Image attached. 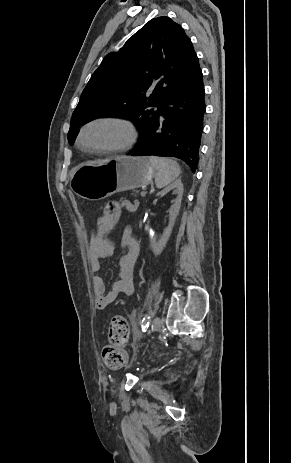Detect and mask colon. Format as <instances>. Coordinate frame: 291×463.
Segmentation results:
<instances>
[{
    "label": "colon",
    "mask_w": 291,
    "mask_h": 463,
    "mask_svg": "<svg viewBox=\"0 0 291 463\" xmlns=\"http://www.w3.org/2000/svg\"><path fill=\"white\" fill-rule=\"evenodd\" d=\"M118 211L117 204L109 203L98 213L99 233L114 230V218L117 216ZM109 337L110 342L105 344L102 349V359L106 367L118 369L125 364L127 359L122 346L128 338V325L123 318L119 316L112 318Z\"/></svg>",
    "instance_id": "1"
}]
</instances>
